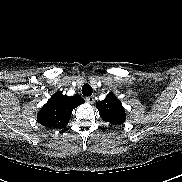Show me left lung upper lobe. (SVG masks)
<instances>
[{
    "label": "left lung upper lobe",
    "instance_id": "1",
    "mask_svg": "<svg viewBox=\"0 0 182 182\" xmlns=\"http://www.w3.org/2000/svg\"><path fill=\"white\" fill-rule=\"evenodd\" d=\"M96 107L101 118L106 122L121 125L126 120L122 103L113 93L107 94L104 100L97 102Z\"/></svg>",
    "mask_w": 182,
    "mask_h": 182
}]
</instances>
